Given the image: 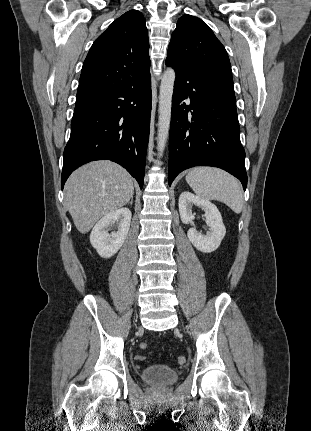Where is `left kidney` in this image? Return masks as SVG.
I'll list each match as a JSON object with an SVG mask.
<instances>
[{
  "label": "left kidney",
  "mask_w": 311,
  "mask_h": 431,
  "mask_svg": "<svg viewBox=\"0 0 311 431\" xmlns=\"http://www.w3.org/2000/svg\"><path fill=\"white\" fill-rule=\"evenodd\" d=\"M178 206L183 223H190L194 219L195 214H192L193 206H198L205 212V221L209 225V231H206V235H203V233L197 231L196 227H190L187 231L188 239L199 251H204V253L215 251L226 233V227L218 208L208 200L194 196L191 192H182L180 194Z\"/></svg>",
  "instance_id": "5707ae66"
}]
</instances>
